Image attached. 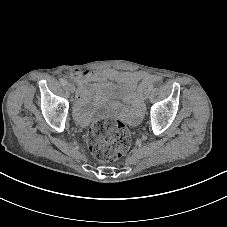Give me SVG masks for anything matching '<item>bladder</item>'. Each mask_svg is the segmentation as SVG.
<instances>
[{
  "label": "bladder",
  "instance_id": "bladder-1",
  "mask_svg": "<svg viewBox=\"0 0 227 227\" xmlns=\"http://www.w3.org/2000/svg\"><path fill=\"white\" fill-rule=\"evenodd\" d=\"M133 92V87L126 83H110L100 94V99L122 100L129 97Z\"/></svg>",
  "mask_w": 227,
  "mask_h": 227
}]
</instances>
